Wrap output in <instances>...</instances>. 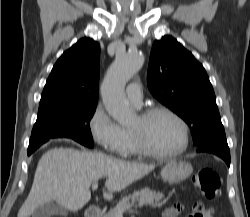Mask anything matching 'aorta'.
I'll return each instance as SVG.
<instances>
[{
	"mask_svg": "<svg viewBox=\"0 0 250 217\" xmlns=\"http://www.w3.org/2000/svg\"><path fill=\"white\" fill-rule=\"evenodd\" d=\"M143 57L138 52L117 55L101 85L104 106L109 115L122 125L134 120L124 93L126 83L143 65Z\"/></svg>",
	"mask_w": 250,
	"mask_h": 217,
	"instance_id": "1",
	"label": "aorta"
}]
</instances>
